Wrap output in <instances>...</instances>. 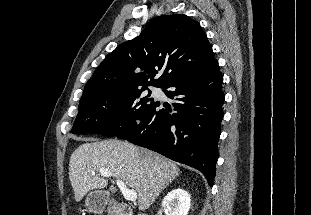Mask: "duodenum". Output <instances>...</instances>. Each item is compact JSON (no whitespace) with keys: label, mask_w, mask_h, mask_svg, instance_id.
Segmentation results:
<instances>
[{"label":"duodenum","mask_w":311,"mask_h":215,"mask_svg":"<svg viewBox=\"0 0 311 215\" xmlns=\"http://www.w3.org/2000/svg\"><path fill=\"white\" fill-rule=\"evenodd\" d=\"M114 215H133L131 208L125 204H118L114 209ZM146 215V214H138Z\"/></svg>","instance_id":"obj_1"}]
</instances>
